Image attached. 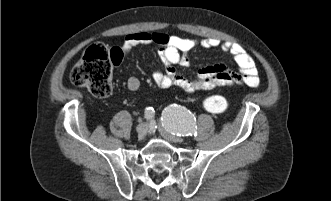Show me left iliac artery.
<instances>
[{"mask_svg": "<svg viewBox=\"0 0 331 201\" xmlns=\"http://www.w3.org/2000/svg\"><path fill=\"white\" fill-rule=\"evenodd\" d=\"M162 125L164 128L177 136H196V119L185 107L170 105L162 113Z\"/></svg>", "mask_w": 331, "mask_h": 201, "instance_id": "1", "label": "left iliac artery"}]
</instances>
